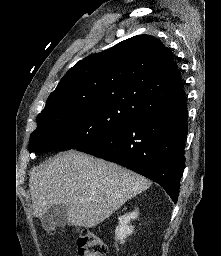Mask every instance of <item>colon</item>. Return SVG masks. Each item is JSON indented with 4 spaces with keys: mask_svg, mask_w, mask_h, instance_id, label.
<instances>
[{
    "mask_svg": "<svg viewBox=\"0 0 221 256\" xmlns=\"http://www.w3.org/2000/svg\"><path fill=\"white\" fill-rule=\"evenodd\" d=\"M78 254L80 256H106L104 241L94 232L83 229L77 236Z\"/></svg>",
    "mask_w": 221,
    "mask_h": 256,
    "instance_id": "1",
    "label": "colon"
}]
</instances>
